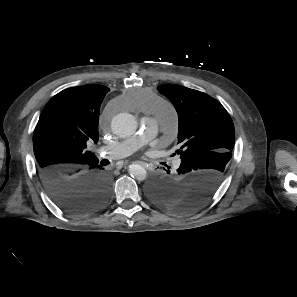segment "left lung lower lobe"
<instances>
[{
  "mask_svg": "<svg viewBox=\"0 0 297 297\" xmlns=\"http://www.w3.org/2000/svg\"><path fill=\"white\" fill-rule=\"evenodd\" d=\"M178 172V176H181L183 172L186 171L182 168L179 167L177 169ZM169 173V172H167ZM199 179H201V184L199 186V190L193 192V194L189 195V200H187V203H185L184 206L178 208V210H175V212H190L193 211L195 209H197V203H198V199H200V197L204 196V195H208V193H210L212 191V189L214 188V180H212V178L210 177H206V176H201ZM176 187V184L172 178V176H160L155 178L151 184L149 185V195L150 194H159V193H170L172 191H174V189Z\"/></svg>",
  "mask_w": 297,
  "mask_h": 297,
  "instance_id": "obj_1",
  "label": "left lung lower lobe"
}]
</instances>
